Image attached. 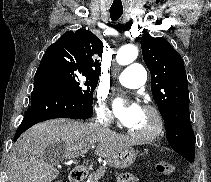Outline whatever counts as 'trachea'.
<instances>
[{
	"label": "trachea",
	"instance_id": "1",
	"mask_svg": "<svg viewBox=\"0 0 211 182\" xmlns=\"http://www.w3.org/2000/svg\"><path fill=\"white\" fill-rule=\"evenodd\" d=\"M123 14V11L110 10V17L113 21H117Z\"/></svg>",
	"mask_w": 211,
	"mask_h": 182
}]
</instances>
